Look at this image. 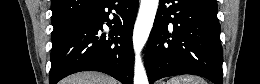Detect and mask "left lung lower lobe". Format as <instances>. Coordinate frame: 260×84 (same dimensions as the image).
Returning <instances> with one entry per match:
<instances>
[{
    "label": "left lung lower lobe",
    "mask_w": 260,
    "mask_h": 84,
    "mask_svg": "<svg viewBox=\"0 0 260 84\" xmlns=\"http://www.w3.org/2000/svg\"><path fill=\"white\" fill-rule=\"evenodd\" d=\"M222 62L216 0H160L145 54L149 83L194 74L223 84Z\"/></svg>",
    "instance_id": "0a47b994"
}]
</instances>
